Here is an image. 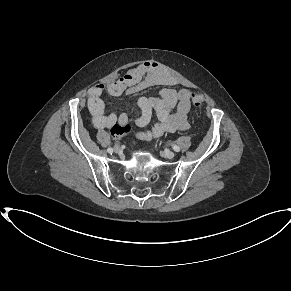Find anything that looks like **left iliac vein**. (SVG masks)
Returning a JSON list of instances; mask_svg holds the SVG:
<instances>
[{
    "label": "left iliac vein",
    "instance_id": "obj_1",
    "mask_svg": "<svg viewBox=\"0 0 291 291\" xmlns=\"http://www.w3.org/2000/svg\"><path fill=\"white\" fill-rule=\"evenodd\" d=\"M164 155H165V157H167V158H169V159H172V158H174V156H175L174 152H172V151H170V150H166V151L164 152Z\"/></svg>",
    "mask_w": 291,
    "mask_h": 291
}]
</instances>
